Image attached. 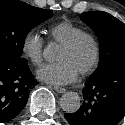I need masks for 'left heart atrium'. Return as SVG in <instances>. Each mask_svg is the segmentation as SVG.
I'll return each mask as SVG.
<instances>
[{
	"instance_id": "39dd6f15",
	"label": "left heart atrium",
	"mask_w": 125,
	"mask_h": 125,
	"mask_svg": "<svg viewBox=\"0 0 125 125\" xmlns=\"http://www.w3.org/2000/svg\"><path fill=\"white\" fill-rule=\"evenodd\" d=\"M77 76L78 72L65 60L46 64L37 71L39 79L57 85L71 83Z\"/></svg>"
}]
</instances>
